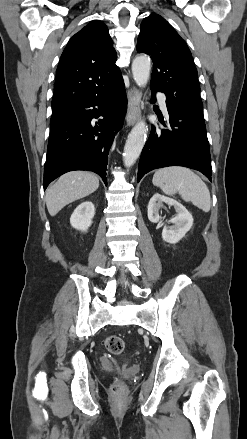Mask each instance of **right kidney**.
<instances>
[{"mask_svg":"<svg viewBox=\"0 0 247 439\" xmlns=\"http://www.w3.org/2000/svg\"><path fill=\"white\" fill-rule=\"evenodd\" d=\"M95 214L94 204L90 201L81 203L74 210L70 217V224L73 228L86 232L92 224V218Z\"/></svg>","mask_w":247,"mask_h":439,"instance_id":"ca27d5eb","label":"right kidney"}]
</instances>
